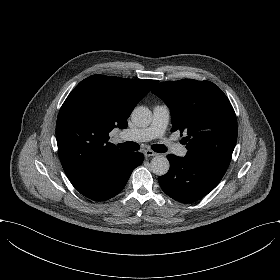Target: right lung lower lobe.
<instances>
[{
    "label": "right lung lower lobe",
    "mask_w": 280,
    "mask_h": 280,
    "mask_svg": "<svg viewBox=\"0 0 280 280\" xmlns=\"http://www.w3.org/2000/svg\"><path fill=\"white\" fill-rule=\"evenodd\" d=\"M144 160L140 152L127 153L124 157L116 160L99 172L90 189L80 192L85 197L104 201L116 196L126 185L132 171Z\"/></svg>",
    "instance_id": "right-lung-lower-lobe-1"
}]
</instances>
